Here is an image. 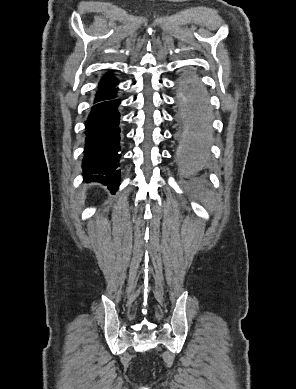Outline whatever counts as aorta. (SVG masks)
Instances as JSON below:
<instances>
[{
    "mask_svg": "<svg viewBox=\"0 0 296 389\" xmlns=\"http://www.w3.org/2000/svg\"><path fill=\"white\" fill-rule=\"evenodd\" d=\"M181 82L184 91L179 96V112L183 135L175 147V156L179 167H202L212 160L211 96L205 91L204 81H196L193 72H184Z\"/></svg>",
    "mask_w": 296,
    "mask_h": 389,
    "instance_id": "obj_1",
    "label": "aorta"
}]
</instances>
